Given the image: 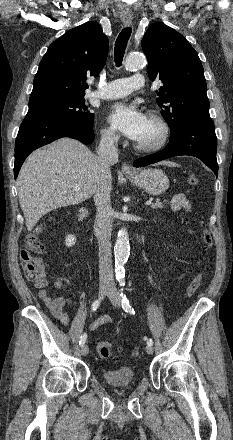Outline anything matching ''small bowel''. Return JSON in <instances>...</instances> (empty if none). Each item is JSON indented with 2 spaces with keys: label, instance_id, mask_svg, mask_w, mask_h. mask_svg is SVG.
Instances as JSON below:
<instances>
[{
  "label": "small bowel",
  "instance_id": "c3829d8e",
  "mask_svg": "<svg viewBox=\"0 0 233 440\" xmlns=\"http://www.w3.org/2000/svg\"><path fill=\"white\" fill-rule=\"evenodd\" d=\"M172 210H185L186 212H191V203L186 198L184 194H175L172 197L171 204ZM35 288L38 289V296L45 305L49 308L51 314L63 325L69 324V316L65 311V305H71L72 301L70 299H66L63 296H50L47 290V281L43 286H40L37 283H34ZM53 287L55 289H61L63 287V281L57 279L53 283ZM112 322V318L109 315H102L94 320L90 326V330H96L99 327L109 324Z\"/></svg>",
  "mask_w": 233,
  "mask_h": 440
}]
</instances>
